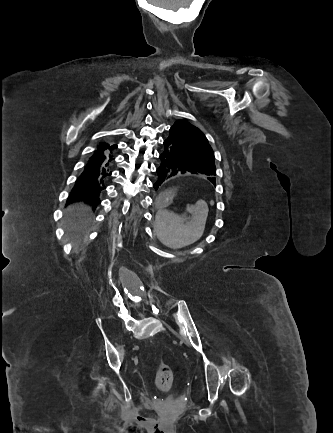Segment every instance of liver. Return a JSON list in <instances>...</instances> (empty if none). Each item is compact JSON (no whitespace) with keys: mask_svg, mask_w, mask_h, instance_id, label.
<instances>
[{"mask_svg":"<svg viewBox=\"0 0 333 433\" xmlns=\"http://www.w3.org/2000/svg\"><path fill=\"white\" fill-rule=\"evenodd\" d=\"M66 215V230L68 232H73L79 236L88 230L92 217L90 206L83 202L75 203L67 208Z\"/></svg>","mask_w":333,"mask_h":433,"instance_id":"1","label":"liver"}]
</instances>
